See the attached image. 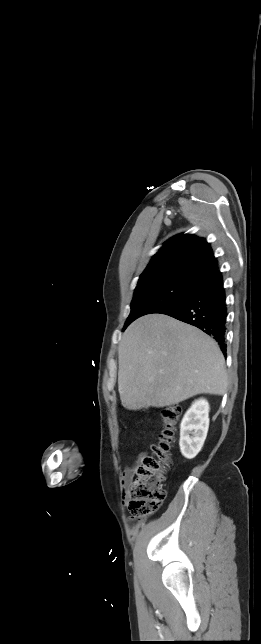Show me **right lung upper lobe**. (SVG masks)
Here are the masks:
<instances>
[{
  "mask_svg": "<svg viewBox=\"0 0 261 644\" xmlns=\"http://www.w3.org/2000/svg\"><path fill=\"white\" fill-rule=\"evenodd\" d=\"M218 269L210 244L193 235H176L153 256L138 284L183 278L198 282Z\"/></svg>",
  "mask_w": 261,
  "mask_h": 644,
  "instance_id": "cb5924a9",
  "label": "right lung upper lobe"
}]
</instances>
